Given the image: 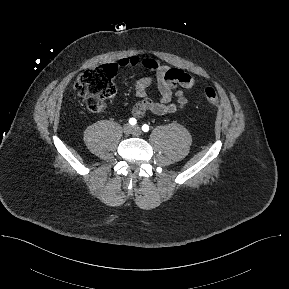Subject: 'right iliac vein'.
<instances>
[{
	"mask_svg": "<svg viewBox=\"0 0 289 289\" xmlns=\"http://www.w3.org/2000/svg\"><path fill=\"white\" fill-rule=\"evenodd\" d=\"M123 131L125 134L129 135V134L133 133V127L130 126L129 124H126L123 127Z\"/></svg>",
	"mask_w": 289,
	"mask_h": 289,
	"instance_id": "right-iliac-vein-1",
	"label": "right iliac vein"
}]
</instances>
